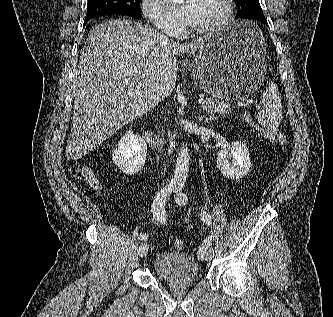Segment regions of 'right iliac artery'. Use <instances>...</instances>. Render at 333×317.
Returning <instances> with one entry per match:
<instances>
[{
  "instance_id": "right-iliac-artery-1",
  "label": "right iliac artery",
  "mask_w": 333,
  "mask_h": 317,
  "mask_svg": "<svg viewBox=\"0 0 333 317\" xmlns=\"http://www.w3.org/2000/svg\"><path fill=\"white\" fill-rule=\"evenodd\" d=\"M174 185L169 184L164 187L154 198L152 204V213L155 220H157L161 224L166 223V211H165V200L168 194H170L174 190ZM141 240H147L148 235L143 233L140 235Z\"/></svg>"
}]
</instances>
